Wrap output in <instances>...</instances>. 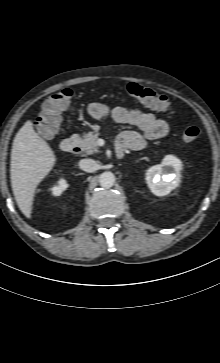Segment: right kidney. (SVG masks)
<instances>
[{
    "instance_id": "1",
    "label": "right kidney",
    "mask_w": 220,
    "mask_h": 363,
    "mask_svg": "<svg viewBox=\"0 0 220 363\" xmlns=\"http://www.w3.org/2000/svg\"><path fill=\"white\" fill-rule=\"evenodd\" d=\"M67 187H68V184H67L66 180L61 178L57 182L56 185H54L52 188H50V190L54 196H60L62 194V192L67 189Z\"/></svg>"
}]
</instances>
